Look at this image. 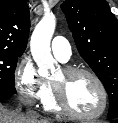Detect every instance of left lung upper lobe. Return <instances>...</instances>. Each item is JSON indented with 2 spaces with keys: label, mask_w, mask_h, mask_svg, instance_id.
I'll list each match as a JSON object with an SVG mask.
<instances>
[{
  "label": "left lung upper lobe",
  "mask_w": 118,
  "mask_h": 123,
  "mask_svg": "<svg viewBox=\"0 0 118 123\" xmlns=\"http://www.w3.org/2000/svg\"><path fill=\"white\" fill-rule=\"evenodd\" d=\"M77 49L109 95V118L118 119V21L105 0L61 4Z\"/></svg>",
  "instance_id": "obj_1"
}]
</instances>
